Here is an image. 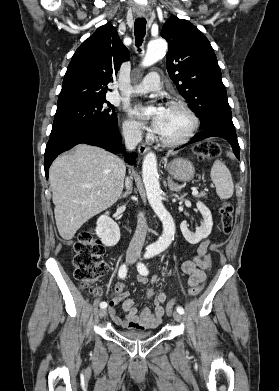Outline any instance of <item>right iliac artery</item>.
Masks as SVG:
<instances>
[{
  "instance_id": "82829eb1",
  "label": "right iliac artery",
  "mask_w": 279,
  "mask_h": 391,
  "mask_svg": "<svg viewBox=\"0 0 279 391\" xmlns=\"http://www.w3.org/2000/svg\"><path fill=\"white\" fill-rule=\"evenodd\" d=\"M126 274H127V266L125 264H123V265H121V267L119 269L118 275L120 278H125ZM100 307L105 309L107 307V303L101 302Z\"/></svg>"
}]
</instances>
